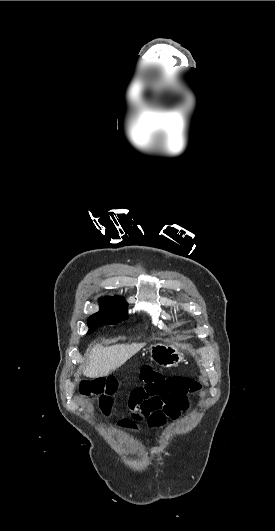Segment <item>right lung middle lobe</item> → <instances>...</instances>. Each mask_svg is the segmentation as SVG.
I'll return each instance as SVG.
<instances>
[{"label":"right lung middle lobe","mask_w":275,"mask_h":531,"mask_svg":"<svg viewBox=\"0 0 275 531\" xmlns=\"http://www.w3.org/2000/svg\"><path fill=\"white\" fill-rule=\"evenodd\" d=\"M127 303L123 298L105 297L100 299V311L88 319V334L105 324H117L127 319Z\"/></svg>","instance_id":"obj_1"}]
</instances>
